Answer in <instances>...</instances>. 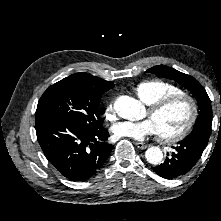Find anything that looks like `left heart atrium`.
<instances>
[{
  "instance_id": "39dd6f15",
  "label": "left heart atrium",
  "mask_w": 221,
  "mask_h": 221,
  "mask_svg": "<svg viewBox=\"0 0 221 221\" xmlns=\"http://www.w3.org/2000/svg\"><path fill=\"white\" fill-rule=\"evenodd\" d=\"M116 137H127L134 140H143L148 135L157 133L156 126L151 119L140 122L122 121L112 127Z\"/></svg>"
}]
</instances>
